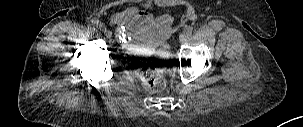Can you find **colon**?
<instances>
[{
	"label": "colon",
	"instance_id": "colon-1",
	"mask_svg": "<svg viewBox=\"0 0 303 127\" xmlns=\"http://www.w3.org/2000/svg\"><path fill=\"white\" fill-rule=\"evenodd\" d=\"M169 62V51L160 49L155 59H144L138 62L135 74L141 87L152 93H160L166 88L164 71Z\"/></svg>",
	"mask_w": 303,
	"mask_h": 127
}]
</instances>
